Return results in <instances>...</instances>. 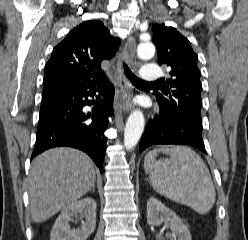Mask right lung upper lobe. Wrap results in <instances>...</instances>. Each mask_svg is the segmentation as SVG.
<instances>
[{
  "label": "right lung upper lobe",
  "mask_w": 248,
  "mask_h": 240,
  "mask_svg": "<svg viewBox=\"0 0 248 240\" xmlns=\"http://www.w3.org/2000/svg\"><path fill=\"white\" fill-rule=\"evenodd\" d=\"M117 52V39L101 21H85L58 44L45 67L42 97L104 81L101 62Z\"/></svg>",
  "instance_id": "cb5924a9"
}]
</instances>
